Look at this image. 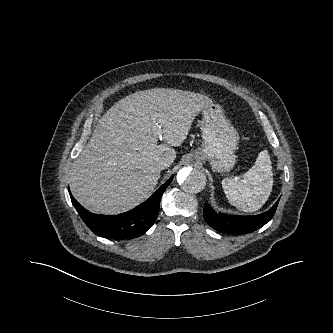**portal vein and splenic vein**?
<instances>
[{"mask_svg":"<svg viewBox=\"0 0 333 333\" xmlns=\"http://www.w3.org/2000/svg\"><path fill=\"white\" fill-rule=\"evenodd\" d=\"M153 133H154L155 136H157L158 138L161 139V137H162V130H161L160 126L157 127V128H155Z\"/></svg>","mask_w":333,"mask_h":333,"instance_id":"18ae733b","label":"portal vein and splenic vein"}]
</instances>
